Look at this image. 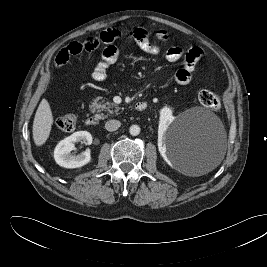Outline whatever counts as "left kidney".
Segmentation results:
<instances>
[{
	"mask_svg": "<svg viewBox=\"0 0 267 267\" xmlns=\"http://www.w3.org/2000/svg\"><path fill=\"white\" fill-rule=\"evenodd\" d=\"M175 117L173 116V112L169 107H163L160 110V118H159V135L162 137L168 129V126L174 121ZM158 149L163 157V159L168 163L172 164V160L167 154L166 144L162 141L158 142Z\"/></svg>",
	"mask_w": 267,
	"mask_h": 267,
	"instance_id": "5707ae66",
	"label": "left kidney"
}]
</instances>
